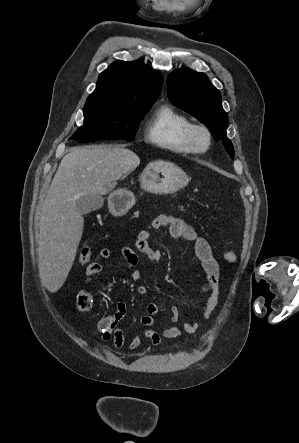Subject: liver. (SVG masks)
<instances>
[{
    "instance_id": "6515ba94",
    "label": "liver",
    "mask_w": 299,
    "mask_h": 443,
    "mask_svg": "<svg viewBox=\"0 0 299 443\" xmlns=\"http://www.w3.org/2000/svg\"><path fill=\"white\" fill-rule=\"evenodd\" d=\"M139 164L140 158L124 146L79 147L63 157L39 222V276L49 292H57L66 281L82 237L84 218L76 210L77 199L107 194Z\"/></svg>"
}]
</instances>
